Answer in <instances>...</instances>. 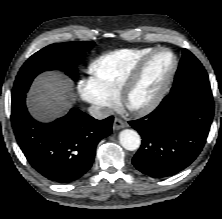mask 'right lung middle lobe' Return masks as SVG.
Masks as SVG:
<instances>
[{"mask_svg":"<svg viewBox=\"0 0 222 219\" xmlns=\"http://www.w3.org/2000/svg\"><path fill=\"white\" fill-rule=\"evenodd\" d=\"M93 46L92 41L56 43L36 52L21 67L14 83L12 99L24 96L33 79L43 71L59 68L75 78L74 70H69V67L76 65Z\"/></svg>","mask_w":222,"mask_h":219,"instance_id":"dd1d6c3e","label":"right lung middle lobe"}]
</instances>
